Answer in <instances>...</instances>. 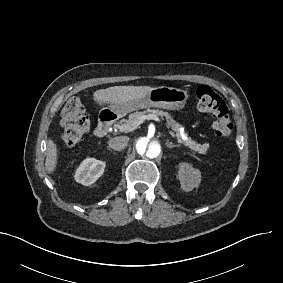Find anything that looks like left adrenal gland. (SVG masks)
<instances>
[{"label":"left adrenal gland","mask_w":283,"mask_h":283,"mask_svg":"<svg viewBox=\"0 0 283 283\" xmlns=\"http://www.w3.org/2000/svg\"><path fill=\"white\" fill-rule=\"evenodd\" d=\"M166 146L168 148H173V147H180V144L174 145L172 142H169V140L166 141Z\"/></svg>","instance_id":"a2214340"}]
</instances>
